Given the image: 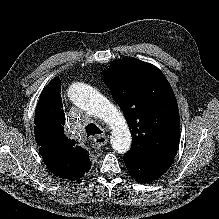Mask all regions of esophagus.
I'll return each mask as SVG.
<instances>
[{"mask_svg":"<svg viewBox=\"0 0 219 219\" xmlns=\"http://www.w3.org/2000/svg\"><path fill=\"white\" fill-rule=\"evenodd\" d=\"M108 142V136L107 135H98L93 140V147L94 148H101L105 146Z\"/></svg>","mask_w":219,"mask_h":219,"instance_id":"obj_1","label":"esophagus"}]
</instances>
